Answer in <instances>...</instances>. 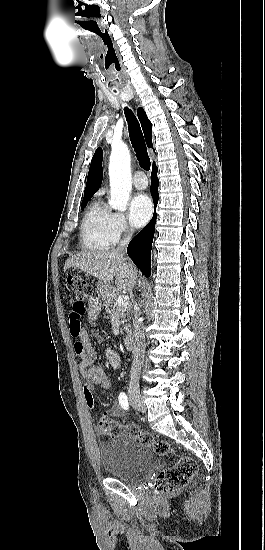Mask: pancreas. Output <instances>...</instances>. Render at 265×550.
I'll list each match as a JSON object with an SVG mask.
<instances>
[{
    "instance_id": "obj_1",
    "label": "pancreas",
    "mask_w": 265,
    "mask_h": 550,
    "mask_svg": "<svg viewBox=\"0 0 265 550\" xmlns=\"http://www.w3.org/2000/svg\"><path fill=\"white\" fill-rule=\"evenodd\" d=\"M118 297H119V294L117 292L110 293L106 297L103 306L105 307V310L107 313L111 314L113 312H116L119 315V317L122 319V321L127 323L131 320L132 305L130 303L125 306L117 305L116 301ZM130 327H131V324H125L122 330H125L126 333L129 334L131 332Z\"/></svg>"
}]
</instances>
